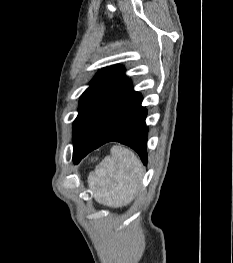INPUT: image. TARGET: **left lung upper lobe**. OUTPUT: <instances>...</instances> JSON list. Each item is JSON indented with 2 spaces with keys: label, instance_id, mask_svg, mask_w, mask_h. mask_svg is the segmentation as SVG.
I'll use <instances>...</instances> for the list:
<instances>
[{
  "label": "left lung upper lobe",
  "instance_id": "obj_1",
  "mask_svg": "<svg viewBox=\"0 0 233 263\" xmlns=\"http://www.w3.org/2000/svg\"><path fill=\"white\" fill-rule=\"evenodd\" d=\"M126 82L120 65L97 73L80 97L79 114L73 124L74 147H83L87 143L99 117Z\"/></svg>",
  "mask_w": 233,
  "mask_h": 263
}]
</instances>
